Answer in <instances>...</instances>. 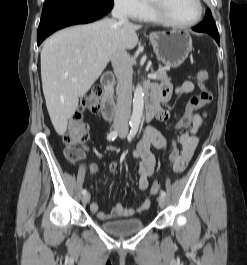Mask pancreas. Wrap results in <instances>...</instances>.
<instances>
[{
	"label": "pancreas",
	"mask_w": 247,
	"mask_h": 265,
	"mask_svg": "<svg viewBox=\"0 0 247 265\" xmlns=\"http://www.w3.org/2000/svg\"><path fill=\"white\" fill-rule=\"evenodd\" d=\"M157 80H170L167 76L166 69L163 67H160L156 72H155Z\"/></svg>",
	"instance_id": "cf45deb5"
}]
</instances>
